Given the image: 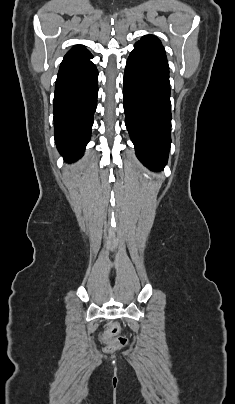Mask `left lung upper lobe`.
Segmentation results:
<instances>
[{"label": "left lung upper lobe", "mask_w": 235, "mask_h": 404, "mask_svg": "<svg viewBox=\"0 0 235 404\" xmlns=\"http://www.w3.org/2000/svg\"><path fill=\"white\" fill-rule=\"evenodd\" d=\"M136 44L146 45V46L156 48L158 50H161V51L165 52L160 40L157 37L153 36V35L143 36L141 38V40L138 41Z\"/></svg>", "instance_id": "obj_1"}]
</instances>
